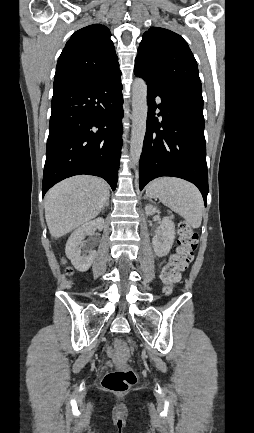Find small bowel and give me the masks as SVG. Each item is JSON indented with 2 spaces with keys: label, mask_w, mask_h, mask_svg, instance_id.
<instances>
[{
  "label": "small bowel",
  "mask_w": 254,
  "mask_h": 433,
  "mask_svg": "<svg viewBox=\"0 0 254 433\" xmlns=\"http://www.w3.org/2000/svg\"><path fill=\"white\" fill-rule=\"evenodd\" d=\"M171 291H172V288L167 287V286L165 287V292H166V293H170Z\"/></svg>",
  "instance_id": "small-bowel-1"
}]
</instances>
